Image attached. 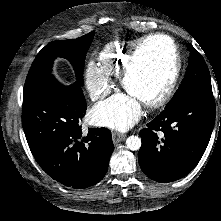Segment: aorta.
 <instances>
[{"label": "aorta", "mask_w": 221, "mask_h": 221, "mask_svg": "<svg viewBox=\"0 0 221 221\" xmlns=\"http://www.w3.org/2000/svg\"><path fill=\"white\" fill-rule=\"evenodd\" d=\"M126 146L132 151L139 150L141 147V139L138 136H129L126 140Z\"/></svg>", "instance_id": "aorta-1"}]
</instances>
